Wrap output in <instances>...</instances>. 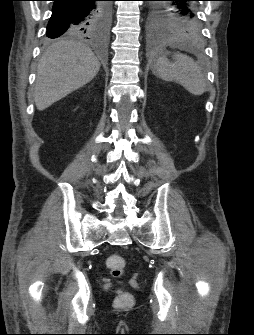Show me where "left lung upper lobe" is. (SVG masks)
I'll list each match as a JSON object with an SVG mask.
<instances>
[{"instance_id": "1", "label": "left lung upper lobe", "mask_w": 254, "mask_h": 335, "mask_svg": "<svg viewBox=\"0 0 254 335\" xmlns=\"http://www.w3.org/2000/svg\"><path fill=\"white\" fill-rule=\"evenodd\" d=\"M151 1L148 25L152 33H197L200 22L197 15L198 0H146Z\"/></svg>"}]
</instances>
